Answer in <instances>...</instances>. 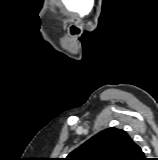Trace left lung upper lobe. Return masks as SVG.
<instances>
[{"label":"left lung upper lobe","instance_id":"5c2ea615","mask_svg":"<svg viewBox=\"0 0 158 160\" xmlns=\"http://www.w3.org/2000/svg\"><path fill=\"white\" fill-rule=\"evenodd\" d=\"M135 146L124 130L108 128L73 150L65 160H130Z\"/></svg>","mask_w":158,"mask_h":160}]
</instances>
